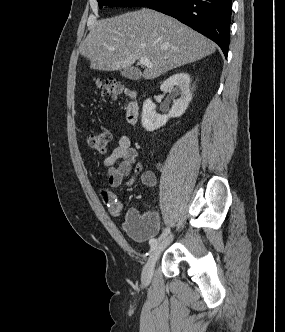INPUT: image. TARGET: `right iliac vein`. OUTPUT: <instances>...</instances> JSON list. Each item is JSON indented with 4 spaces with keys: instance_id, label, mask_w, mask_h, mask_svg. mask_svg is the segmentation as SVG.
<instances>
[{
    "instance_id": "right-iliac-vein-1",
    "label": "right iliac vein",
    "mask_w": 285,
    "mask_h": 332,
    "mask_svg": "<svg viewBox=\"0 0 285 332\" xmlns=\"http://www.w3.org/2000/svg\"><path fill=\"white\" fill-rule=\"evenodd\" d=\"M173 240V235L170 234L164 240H162L156 248L153 250L151 256L149 257L147 263L145 264L143 271H142V282L148 284L153 276L154 268L156 262L158 261L160 254L162 251L171 243Z\"/></svg>"
}]
</instances>
